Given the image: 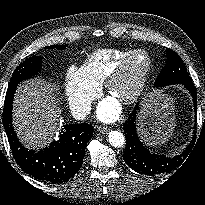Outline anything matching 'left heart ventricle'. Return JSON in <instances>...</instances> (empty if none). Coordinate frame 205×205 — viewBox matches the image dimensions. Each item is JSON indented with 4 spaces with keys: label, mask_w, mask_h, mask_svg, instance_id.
Masks as SVG:
<instances>
[{
    "label": "left heart ventricle",
    "mask_w": 205,
    "mask_h": 205,
    "mask_svg": "<svg viewBox=\"0 0 205 205\" xmlns=\"http://www.w3.org/2000/svg\"><path fill=\"white\" fill-rule=\"evenodd\" d=\"M147 64L144 54L135 56L128 65V68L120 81L113 88L112 97L120 99L126 97L138 82Z\"/></svg>",
    "instance_id": "obj_1"
}]
</instances>
